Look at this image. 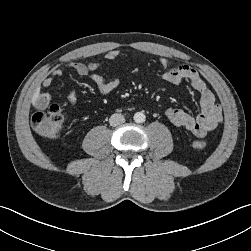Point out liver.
Returning a JSON list of instances; mask_svg holds the SVG:
<instances>
[{"label": "liver", "mask_w": 251, "mask_h": 251, "mask_svg": "<svg viewBox=\"0 0 251 251\" xmlns=\"http://www.w3.org/2000/svg\"><path fill=\"white\" fill-rule=\"evenodd\" d=\"M39 95H40V87H38V88L36 89V91H35V93H34V95H33V97H32V104H33V106L36 105V102H37V100H38V98H39Z\"/></svg>", "instance_id": "liver-1"}]
</instances>
